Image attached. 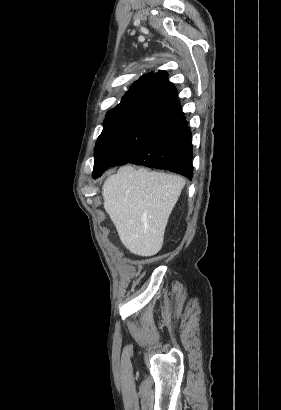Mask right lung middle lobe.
Returning a JSON list of instances; mask_svg holds the SVG:
<instances>
[{"label":"right lung middle lobe","instance_id":"dd1d6c3e","mask_svg":"<svg viewBox=\"0 0 281 410\" xmlns=\"http://www.w3.org/2000/svg\"><path fill=\"white\" fill-rule=\"evenodd\" d=\"M168 112L166 109L142 104L120 105L111 109L96 143L93 178L112 166Z\"/></svg>","mask_w":281,"mask_h":410}]
</instances>
